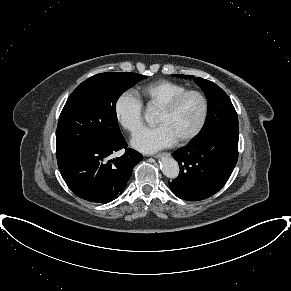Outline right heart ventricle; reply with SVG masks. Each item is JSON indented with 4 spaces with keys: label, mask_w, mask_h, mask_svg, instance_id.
I'll return each mask as SVG.
<instances>
[{
    "label": "right heart ventricle",
    "mask_w": 291,
    "mask_h": 291,
    "mask_svg": "<svg viewBox=\"0 0 291 291\" xmlns=\"http://www.w3.org/2000/svg\"><path fill=\"white\" fill-rule=\"evenodd\" d=\"M187 90L178 82L158 80L144 85L137 90V94L147 106L160 108L177 94Z\"/></svg>",
    "instance_id": "obj_1"
}]
</instances>
